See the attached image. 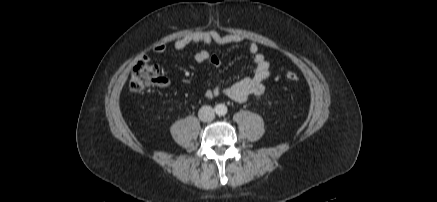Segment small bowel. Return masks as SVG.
<instances>
[{
  "mask_svg": "<svg viewBox=\"0 0 437 202\" xmlns=\"http://www.w3.org/2000/svg\"><path fill=\"white\" fill-rule=\"evenodd\" d=\"M244 37L239 34H220L215 30L196 31L175 39L173 46L176 50H182L190 44L197 43L203 45L217 44L229 45L241 43ZM166 51V45L163 43L156 44L153 52L163 54ZM248 51L253 57L255 68L250 76L244 77L233 84L221 87L219 85H210L205 92L207 98H213L225 95L235 101L244 102L250 96H260L264 93L265 87L263 82L270 76L271 67L266 56L260 52L256 43H250ZM144 60H148L144 56ZM193 60L197 63L208 62L213 68L218 69L221 66V60L215 53L201 49L193 55ZM168 84L165 80L164 85Z\"/></svg>",
  "mask_w": 437,
  "mask_h": 202,
  "instance_id": "1",
  "label": "small bowel"
}]
</instances>
